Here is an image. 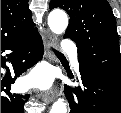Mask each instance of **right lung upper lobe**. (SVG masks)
<instances>
[{
  "label": "right lung upper lobe",
  "instance_id": "obj_1",
  "mask_svg": "<svg viewBox=\"0 0 121 113\" xmlns=\"http://www.w3.org/2000/svg\"><path fill=\"white\" fill-rule=\"evenodd\" d=\"M33 25L28 0H1V46L35 32Z\"/></svg>",
  "mask_w": 121,
  "mask_h": 113
}]
</instances>
